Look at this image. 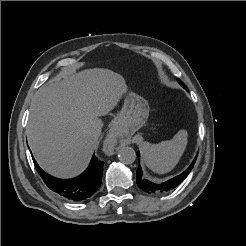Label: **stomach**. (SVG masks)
<instances>
[{
  "mask_svg": "<svg viewBox=\"0 0 246 246\" xmlns=\"http://www.w3.org/2000/svg\"><path fill=\"white\" fill-rule=\"evenodd\" d=\"M148 117L149 106L147 101L140 95L131 92L124 100L116 125L126 135H132L143 127Z\"/></svg>",
  "mask_w": 246,
  "mask_h": 246,
  "instance_id": "0dacf381",
  "label": "stomach"
}]
</instances>
